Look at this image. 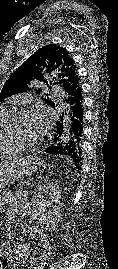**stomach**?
Returning <instances> with one entry per match:
<instances>
[{"label": "stomach", "instance_id": "1", "mask_svg": "<svg viewBox=\"0 0 118 269\" xmlns=\"http://www.w3.org/2000/svg\"><path fill=\"white\" fill-rule=\"evenodd\" d=\"M41 166L39 158L28 156L19 158L10 164L0 167V193L4 188L26 176L34 174Z\"/></svg>", "mask_w": 118, "mask_h": 269}]
</instances>
